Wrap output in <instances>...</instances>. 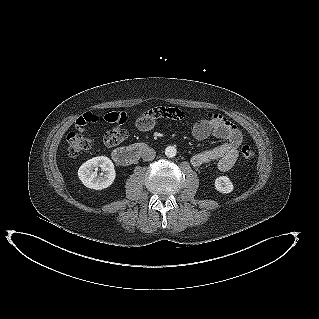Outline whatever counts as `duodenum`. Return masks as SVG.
Here are the masks:
<instances>
[{
	"instance_id": "1",
	"label": "duodenum",
	"mask_w": 319,
	"mask_h": 319,
	"mask_svg": "<svg viewBox=\"0 0 319 319\" xmlns=\"http://www.w3.org/2000/svg\"><path fill=\"white\" fill-rule=\"evenodd\" d=\"M147 149V144L138 142L127 147H118L113 151L112 155L116 163L128 166L138 160Z\"/></svg>"
}]
</instances>
